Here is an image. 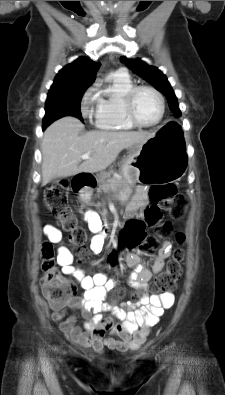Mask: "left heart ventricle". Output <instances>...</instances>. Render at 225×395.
<instances>
[{"instance_id": "left-heart-ventricle-1", "label": "left heart ventricle", "mask_w": 225, "mask_h": 395, "mask_svg": "<svg viewBox=\"0 0 225 395\" xmlns=\"http://www.w3.org/2000/svg\"><path fill=\"white\" fill-rule=\"evenodd\" d=\"M134 110L137 118L142 123H154L160 115L159 101L153 93L143 90L136 96Z\"/></svg>"}]
</instances>
